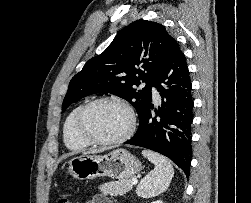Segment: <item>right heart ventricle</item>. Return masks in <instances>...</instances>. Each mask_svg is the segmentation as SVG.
<instances>
[{
    "instance_id": "right-heart-ventricle-1",
    "label": "right heart ventricle",
    "mask_w": 251,
    "mask_h": 203,
    "mask_svg": "<svg viewBox=\"0 0 251 203\" xmlns=\"http://www.w3.org/2000/svg\"><path fill=\"white\" fill-rule=\"evenodd\" d=\"M82 105L74 107L65 118L63 123V141L65 146L71 151H81L86 149L89 144L82 141L74 131V121L78 110Z\"/></svg>"
}]
</instances>
